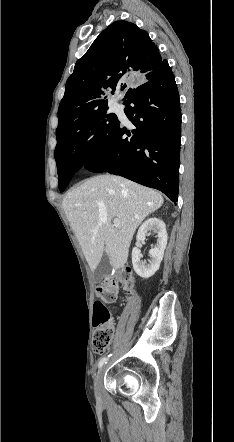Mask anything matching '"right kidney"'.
Here are the masks:
<instances>
[{"instance_id": "obj_1", "label": "right kidney", "mask_w": 234, "mask_h": 442, "mask_svg": "<svg viewBox=\"0 0 234 442\" xmlns=\"http://www.w3.org/2000/svg\"><path fill=\"white\" fill-rule=\"evenodd\" d=\"M148 231H154L157 233V243L149 251L151 260L149 264H145L141 261L140 253V241L145 239V235ZM137 246L132 250V264L134 271L140 277L147 279L153 276L160 267V263L163 259L164 250L167 245V232L165 223L159 218H149L139 228L137 232Z\"/></svg>"}]
</instances>
